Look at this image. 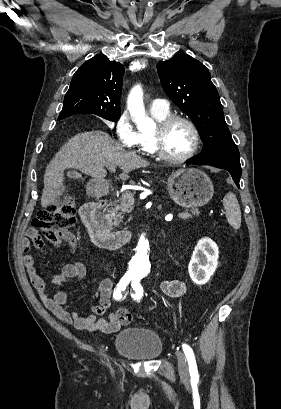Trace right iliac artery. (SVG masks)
<instances>
[{"mask_svg": "<svg viewBox=\"0 0 281 409\" xmlns=\"http://www.w3.org/2000/svg\"><path fill=\"white\" fill-rule=\"evenodd\" d=\"M132 277L130 275H124L119 283L117 284L116 289L114 290L113 297L116 300L125 299L128 292L125 291L126 287L128 286L129 282L131 281Z\"/></svg>", "mask_w": 281, "mask_h": 409, "instance_id": "obj_1", "label": "right iliac artery"}]
</instances>
